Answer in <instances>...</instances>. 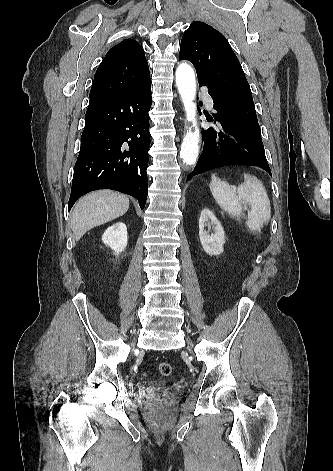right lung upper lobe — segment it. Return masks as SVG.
Listing matches in <instances>:
<instances>
[{"label":"right lung upper lobe","instance_id":"right-lung-upper-lobe-1","mask_svg":"<svg viewBox=\"0 0 333 471\" xmlns=\"http://www.w3.org/2000/svg\"><path fill=\"white\" fill-rule=\"evenodd\" d=\"M150 76L144 49L133 39L112 47L99 65L90 90L89 105L125 93Z\"/></svg>","mask_w":333,"mask_h":471}]
</instances>
